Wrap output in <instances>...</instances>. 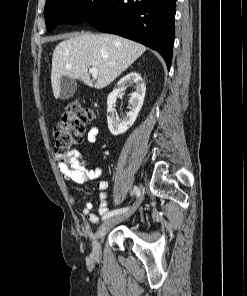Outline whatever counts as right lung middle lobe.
Segmentation results:
<instances>
[{"label": "right lung middle lobe", "mask_w": 247, "mask_h": 296, "mask_svg": "<svg viewBox=\"0 0 247 296\" xmlns=\"http://www.w3.org/2000/svg\"><path fill=\"white\" fill-rule=\"evenodd\" d=\"M109 0H47L44 8L47 30L59 24H80L102 13Z\"/></svg>", "instance_id": "right-lung-middle-lobe-1"}]
</instances>
